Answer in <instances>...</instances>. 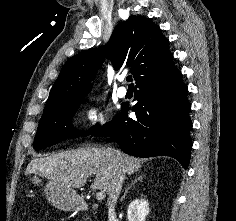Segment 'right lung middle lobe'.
<instances>
[{
	"mask_svg": "<svg viewBox=\"0 0 236 221\" xmlns=\"http://www.w3.org/2000/svg\"><path fill=\"white\" fill-rule=\"evenodd\" d=\"M82 98L79 97L43 113L34 140L33 147L35 150H41L57 144L66 140L67 137L87 136L99 129V125H95L90 131L84 133L72 128V117L78 109Z\"/></svg>",
	"mask_w": 236,
	"mask_h": 221,
	"instance_id": "1",
	"label": "right lung middle lobe"
}]
</instances>
